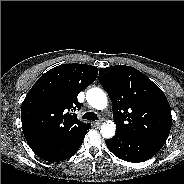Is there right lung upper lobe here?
Listing matches in <instances>:
<instances>
[{
  "label": "right lung upper lobe",
  "mask_w": 184,
  "mask_h": 184,
  "mask_svg": "<svg viewBox=\"0 0 184 184\" xmlns=\"http://www.w3.org/2000/svg\"><path fill=\"white\" fill-rule=\"evenodd\" d=\"M98 68L87 64H63L43 74L22 103L21 122L32 150L75 139L90 124L77 119L81 108L77 95L96 79Z\"/></svg>",
  "instance_id": "cb5924a9"
}]
</instances>
